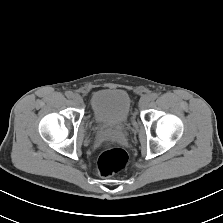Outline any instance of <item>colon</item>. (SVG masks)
<instances>
[{"mask_svg":"<svg viewBox=\"0 0 223 223\" xmlns=\"http://www.w3.org/2000/svg\"><path fill=\"white\" fill-rule=\"evenodd\" d=\"M128 160L129 157L125 150L118 147L108 148L98 158V171L102 176H111L123 170Z\"/></svg>","mask_w":223,"mask_h":223,"instance_id":"colon-1","label":"colon"}]
</instances>
